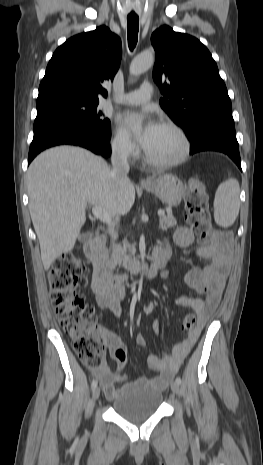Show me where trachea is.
<instances>
[{
  "instance_id": "1",
  "label": "trachea",
  "mask_w": 263,
  "mask_h": 465,
  "mask_svg": "<svg viewBox=\"0 0 263 465\" xmlns=\"http://www.w3.org/2000/svg\"><path fill=\"white\" fill-rule=\"evenodd\" d=\"M127 27H128V46L132 51L138 41V31H139V17L137 16H128L127 17Z\"/></svg>"
}]
</instances>
